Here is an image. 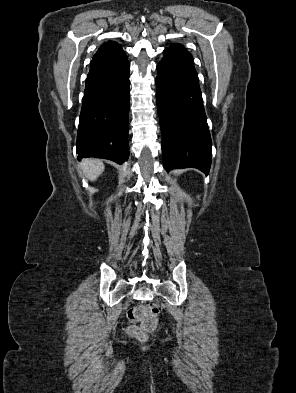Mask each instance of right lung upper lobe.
<instances>
[{"mask_svg":"<svg viewBox=\"0 0 296 393\" xmlns=\"http://www.w3.org/2000/svg\"><path fill=\"white\" fill-rule=\"evenodd\" d=\"M119 44L114 42V41H108L106 43H104L103 45H101V47H105V46H118ZM100 47V48H101Z\"/></svg>","mask_w":296,"mask_h":393,"instance_id":"cb5924a9","label":"right lung upper lobe"}]
</instances>
